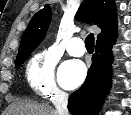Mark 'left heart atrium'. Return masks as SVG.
<instances>
[{
	"label": "left heart atrium",
	"instance_id": "left-heart-atrium-1",
	"mask_svg": "<svg viewBox=\"0 0 131 115\" xmlns=\"http://www.w3.org/2000/svg\"><path fill=\"white\" fill-rule=\"evenodd\" d=\"M86 77V68L80 61H67L59 70L60 84L66 89L79 86Z\"/></svg>",
	"mask_w": 131,
	"mask_h": 115
}]
</instances>
